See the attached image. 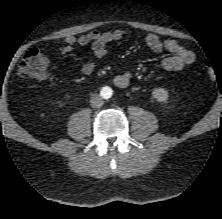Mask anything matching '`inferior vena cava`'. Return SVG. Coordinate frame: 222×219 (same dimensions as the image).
Masks as SVG:
<instances>
[{"instance_id":"obj_1","label":"inferior vena cava","mask_w":222,"mask_h":219,"mask_svg":"<svg viewBox=\"0 0 222 219\" xmlns=\"http://www.w3.org/2000/svg\"><path fill=\"white\" fill-rule=\"evenodd\" d=\"M91 106L93 108H100L103 106L104 101L102 97L98 94H93L90 99Z\"/></svg>"}]
</instances>
